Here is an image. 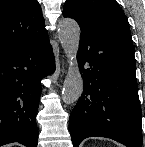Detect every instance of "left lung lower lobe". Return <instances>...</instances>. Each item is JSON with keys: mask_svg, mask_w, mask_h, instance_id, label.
Masks as SVG:
<instances>
[{"mask_svg": "<svg viewBox=\"0 0 145 147\" xmlns=\"http://www.w3.org/2000/svg\"><path fill=\"white\" fill-rule=\"evenodd\" d=\"M79 26L77 59L84 89L69 120L74 147L93 136L142 147V113L130 30L120 25Z\"/></svg>", "mask_w": 145, "mask_h": 147, "instance_id": "obj_1", "label": "left lung lower lobe"}]
</instances>
